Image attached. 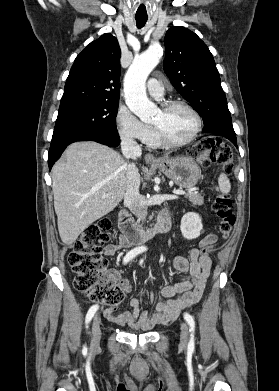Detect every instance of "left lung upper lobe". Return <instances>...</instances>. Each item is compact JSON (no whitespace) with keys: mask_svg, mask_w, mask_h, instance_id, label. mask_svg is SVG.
Returning a JSON list of instances; mask_svg holds the SVG:
<instances>
[{"mask_svg":"<svg viewBox=\"0 0 279 391\" xmlns=\"http://www.w3.org/2000/svg\"><path fill=\"white\" fill-rule=\"evenodd\" d=\"M163 68L174 88L203 118V133L235 135L213 56L205 43L184 27L165 35Z\"/></svg>","mask_w":279,"mask_h":391,"instance_id":"1","label":"left lung upper lobe"}]
</instances>
